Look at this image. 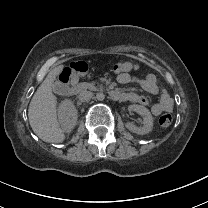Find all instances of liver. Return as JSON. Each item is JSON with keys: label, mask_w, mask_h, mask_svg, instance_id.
Segmentation results:
<instances>
[{"label": "liver", "mask_w": 208, "mask_h": 208, "mask_svg": "<svg viewBox=\"0 0 208 208\" xmlns=\"http://www.w3.org/2000/svg\"><path fill=\"white\" fill-rule=\"evenodd\" d=\"M63 65L53 68L32 97L28 109L30 126L43 141L61 143L65 135L56 115V96L52 93L53 82L63 69Z\"/></svg>", "instance_id": "liver-1"}]
</instances>
